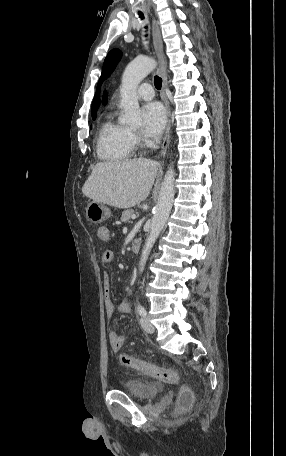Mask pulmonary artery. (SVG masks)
<instances>
[{
	"instance_id": "1",
	"label": "pulmonary artery",
	"mask_w": 286,
	"mask_h": 456,
	"mask_svg": "<svg viewBox=\"0 0 286 456\" xmlns=\"http://www.w3.org/2000/svg\"><path fill=\"white\" fill-rule=\"evenodd\" d=\"M136 95L141 100H151L154 97L153 87L148 83L141 84L136 90Z\"/></svg>"
}]
</instances>
